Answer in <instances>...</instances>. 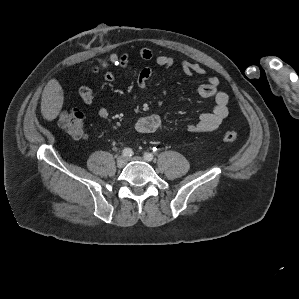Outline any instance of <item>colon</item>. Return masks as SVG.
I'll list each match as a JSON object with an SVG mask.
<instances>
[{
    "label": "colon",
    "mask_w": 299,
    "mask_h": 299,
    "mask_svg": "<svg viewBox=\"0 0 299 299\" xmlns=\"http://www.w3.org/2000/svg\"><path fill=\"white\" fill-rule=\"evenodd\" d=\"M58 124L65 133L75 139H81L85 136L84 115L77 108L62 111L58 117ZM238 136L236 130H228L223 134L222 139L233 142L238 139Z\"/></svg>",
    "instance_id": "1"
}]
</instances>
